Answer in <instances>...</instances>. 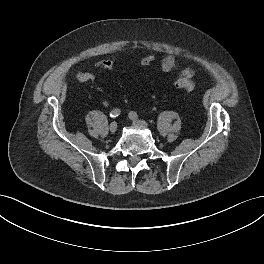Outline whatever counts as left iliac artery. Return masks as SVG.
<instances>
[{
  "instance_id": "left-iliac-artery-1",
  "label": "left iliac artery",
  "mask_w": 264,
  "mask_h": 264,
  "mask_svg": "<svg viewBox=\"0 0 264 264\" xmlns=\"http://www.w3.org/2000/svg\"><path fill=\"white\" fill-rule=\"evenodd\" d=\"M129 117H130L131 119H137V118H138V114H137L136 112H134V111H131V112L129 113Z\"/></svg>"
}]
</instances>
